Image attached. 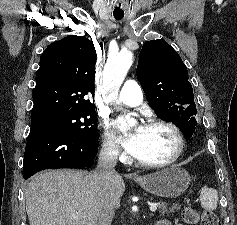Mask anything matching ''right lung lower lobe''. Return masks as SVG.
Listing matches in <instances>:
<instances>
[{
    "label": "right lung lower lobe",
    "instance_id": "obj_1",
    "mask_svg": "<svg viewBox=\"0 0 237 225\" xmlns=\"http://www.w3.org/2000/svg\"><path fill=\"white\" fill-rule=\"evenodd\" d=\"M98 140H84L63 132L31 128L26 144L23 177L44 169L91 167Z\"/></svg>",
    "mask_w": 237,
    "mask_h": 225
}]
</instances>
